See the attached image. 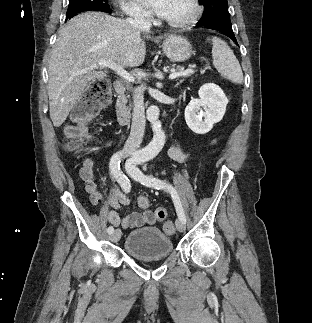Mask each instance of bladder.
Masks as SVG:
<instances>
[{
    "label": "bladder",
    "mask_w": 312,
    "mask_h": 323,
    "mask_svg": "<svg viewBox=\"0 0 312 323\" xmlns=\"http://www.w3.org/2000/svg\"><path fill=\"white\" fill-rule=\"evenodd\" d=\"M125 249L130 256L138 259H158L172 252L173 241L159 228L147 227L129 232L125 239Z\"/></svg>",
    "instance_id": "obj_1"
}]
</instances>
